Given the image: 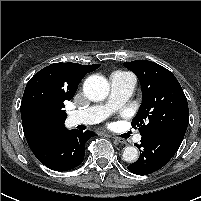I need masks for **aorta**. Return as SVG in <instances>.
I'll return each instance as SVG.
<instances>
[{
  "label": "aorta",
  "instance_id": "762f6f07",
  "mask_svg": "<svg viewBox=\"0 0 201 201\" xmlns=\"http://www.w3.org/2000/svg\"><path fill=\"white\" fill-rule=\"evenodd\" d=\"M83 91L91 101H102L109 94V83L102 76L91 75L85 80ZM122 157L126 162H135L138 159L137 148L133 146L125 147Z\"/></svg>",
  "mask_w": 201,
  "mask_h": 201
}]
</instances>
